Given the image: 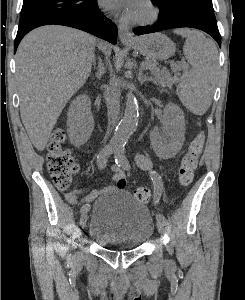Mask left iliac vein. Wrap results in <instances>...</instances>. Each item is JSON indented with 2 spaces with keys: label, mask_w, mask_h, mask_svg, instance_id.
Segmentation results:
<instances>
[{
  "label": "left iliac vein",
  "mask_w": 245,
  "mask_h": 300,
  "mask_svg": "<svg viewBox=\"0 0 245 300\" xmlns=\"http://www.w3.org/2000/svg\"><path fill=\"white\" fill-rule=\"evenodd\" d=\"M157 229L162 234L165 231V224L161 220H157Z\"/></svg>",
  "instance_id": "4c4485c4"
}]
</instances>
